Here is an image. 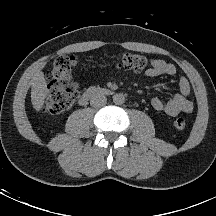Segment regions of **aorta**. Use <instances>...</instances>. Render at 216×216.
Here are the masks:
<instances>
[{
	"instance_id": "1",
	"label": "aorta",
	"mask_w": 216,
	"mask_h": 216,
	"mask_svg": "<svg viewBox=\"0 0 216 216\" xmlns=\"http://www.w3.org/2000/svg\"><path fill=\"white\" fill-rule=\"evenodd\" d=\"M113 102L116 105H121L125 102V96L122 93H117L113 96Z\"/></svg>"
}]
</instances>
